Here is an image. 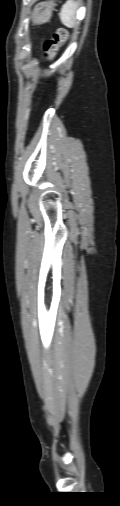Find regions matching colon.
Segmentation results:
<instances>
[{"mask_svg": "<svg viewBox=\"0 0 120 506\" xmlns=\"http://www.w3.org/2000/svg\"><path fill=\"white\" fill-rule=\"evenodd\" d=\"M69 39V35L65 30L57 31L54 36L44 42V60L51 61L59 49V47L66 43Z\"/></svg>", "mask_w": 120, "mask_h": 506, "instance_id": "5ec220e1", "label": "colon"}]
</instances>
